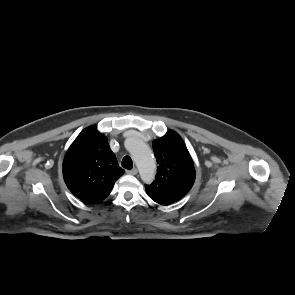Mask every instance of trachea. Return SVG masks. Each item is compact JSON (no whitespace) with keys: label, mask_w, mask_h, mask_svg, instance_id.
<instances>
[{"label":"trachea","mask_w":295,"mask_h":295,"mask_svg":"<svg viewBox=\"0 0 295 295\" xmlns=\"http://www.w3.org/2000/svg\"><path fill=\"white\" fill-rule=\"evenodd\" d=\"M122 167L125 168V169H132L133 161H132L130 156H125L122 159Z\"/></svg>","instance_id":"obj_1"}]
</instances>
